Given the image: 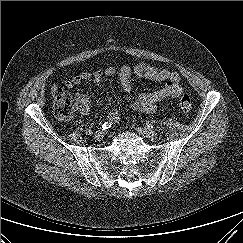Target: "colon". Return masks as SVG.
Wrapping results in <instances>:
<instances>
[{"label": "colon", "instance_id": "5ec220e1", "mask_svg": "<svg viewBox=\"0 0 243 243\" xmlns=\"http://www.w3.org/2000/svg\"><path fill=\"white\" fill-rule=\"evenodd\" d=\"M53 110L55 115L62 119H69L77 107L73 95L62 87L54 86L52 89ZM179 106L184 112H190L194 107L193 99L185 94L179 99Z\"/></svg>", "mask_w": 243, "mask_h": 243}]
</instances>
